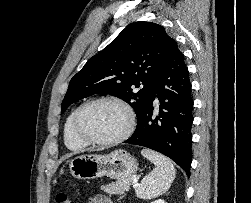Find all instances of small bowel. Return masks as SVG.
<instances>
[{
    "label": "small bowel",
    "instance_id": "1",
    "mask_svg": "<svg viewBox=\"0 0 251 203\" xmlns=\"http://www.w3.org/2000/svg\"><path fill=\"white\" fill-rule=\"evenodd\" d=\"M87 203H113L112 200L104 195H96L88 199Z\"/></svg>",
    "mask_w": 251,
    "mask_h": 203
}]
</instances>
